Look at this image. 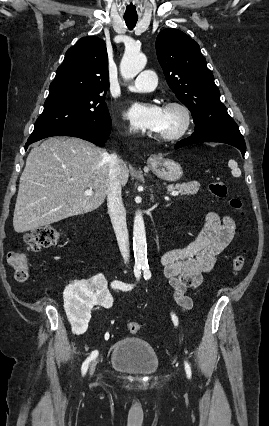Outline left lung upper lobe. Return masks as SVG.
Wrapping results in <instances>:
<instances>
[{"label": "left lung upper lobe", "mask_w": 269, "mask_h": 426, "mask_svg": "<svg viewBox=\"0 0 269 426\" xmlns=\"http://www.w3.org/2000/svg\"><path fill=\"white\" fill-rule=\"evenodd\" d=\"M156 51L169 87L190 110L195 124L206 122L210 116L228 114L193 39L180 30L167 28L157 36Z\"/></svg>", "instance_id": "1"}]
</instances>
